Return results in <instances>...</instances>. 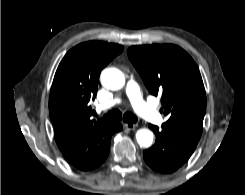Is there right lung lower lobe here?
Instances as JSON below:
<instances>
[{
	"mask_svg": "<svg viewBox=\"0 0 245 195\" xmlns=\"http://www.w3.org/2000/svg\"><path fill=\"white\" fill-rule=\"evenodd\" d=\"M120 130H122V125L117 122L112 123L111 126L102 133V135L98 139V159L94 168L98 167L105 161L109 154L111 137L115 132H118Z\"/></svg>",
	"mask_w": 245,
	"mask_h": 195,
	"instance_id": "1",
	"label": "right lung lower lobe"
}]
</instances>
